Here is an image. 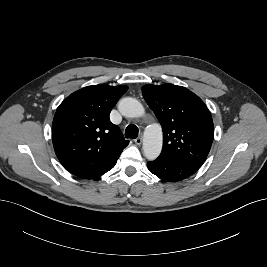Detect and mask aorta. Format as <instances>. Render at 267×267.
<instances>
[{"instance_id": "1", "label": "aorta", "mask_w": 267, "mask_h": 267, "mask_svg": "<svg viewBox=\"0 0 267 267\" xmlns=\"http://www.w3.org/2000/svg\"><path fill=\"white\" fill-rule=\"evenodd\" d=\"M118 110L128 118H137L144 114L143 105L135 98L125 97L119 101ZM163 143L162 128L159 124L146 127L143 139V151L148 160H155L161 153Z\"/></svg>"}]
</instances>
